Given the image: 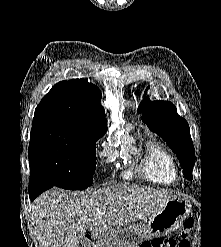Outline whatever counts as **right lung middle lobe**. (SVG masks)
I'll return each mask as SVG.
<instances>
[{
    "label": "right lung middle lobe",
    "mask_w": 221,
    "mask_h": 247,
    "mask_svg": "<svg viewBox=\"0 0 221 247\" xmlns=\"http://www.w3.org/2000/svg\"><path fill=\"white\" fill-rule=\"evenodd\" d=\"M97 139L65 129H32L30 175L63 189L88 188L96 168Z\"/></svg>",
    "instance_id": "1"
}]
</instances>
